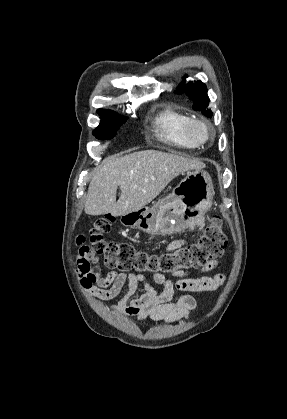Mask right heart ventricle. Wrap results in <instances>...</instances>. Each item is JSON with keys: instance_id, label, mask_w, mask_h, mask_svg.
I'll list each match as a JSON object with an SVG mask.
<instances>
[{"instance_id": "1", "label": "right heart ventricle", "mask_w": 287, "mask_h": 419, "mask_svg": "<svg viewBox=\"0 0 287 419\" xmlns=\"http://www.w3.org/2000/svg\"><path fill=\"white\" fill-rule=\"evenodd\" d=\"M188 119L186 114L171 106L163 107L153 119L156 137L161 142L174 147H197L185 134V124Z\"/></svg>"}]
</instances>
